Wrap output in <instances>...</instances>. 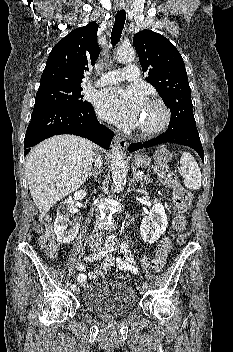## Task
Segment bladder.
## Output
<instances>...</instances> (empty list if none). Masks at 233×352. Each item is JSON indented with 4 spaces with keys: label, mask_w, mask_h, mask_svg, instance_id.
Wrapping results in <instances>:
<instances>
[{
    "label": "bladder",
    "mask_w": 233,
    "mask_h": 352,
    "mask_svg": "<svg viewBox=\"0 0 233 352\" xmlns=\"http://www.w3.org/2000/svg\"><path fill=\"white\" fill-rule=\"evenodd\" d=\"M135 293L126 284L102 281L90 286L84 294V307L96 314L122 315L135 306Z\"/></svg>",
    "instance_id": "31cf9c89"
}]
</instances>
